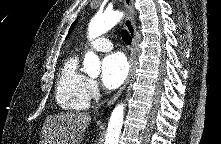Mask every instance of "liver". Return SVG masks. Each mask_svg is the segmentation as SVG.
Instances as JSON below:
<instances>
[{
  "label": "liver",
  "mask_w": 221,
  "mask_h": 144,
  "mask_svg": "<svg viewBox=\"0 0 221 144\" xmlns=\"http://www.w3.org/2000/svg\"><path fill=\"white\" fill-rule=\"evenodd\" d=\"M91 122L89 113L68 111L46 117L41 144H80Z\"/></svg>",
  "instance_id": "6515ba94"
}]
</instances>
